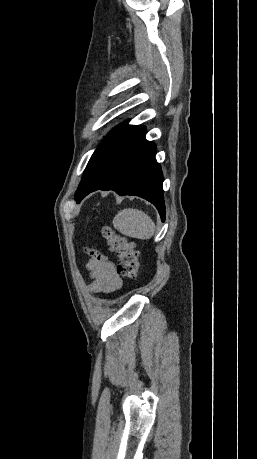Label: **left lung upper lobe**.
Instances as JSON below:
<instances>
[{
	"instance_id": "1",
	"label": "left lung upper lobe",
	"mask_w": 257,
	"mask_h": 459,
	"mask_svg": "<svg viewBox=\"0 0 257 459\" xmlns=\"http://www.w3.org/2000/svg\"><path fill=\"white\" fill-rule=\"evenodd\" d=\"M100 146L95 150L93 155L91 156L87 167L83 173L81 182L79 184L78 190L75 193V199L77 202H80L84 196L87 190L90 188L92 183L95 180V177L97 175V172L100 167Z\"/></svg>"
}]
</instances>
